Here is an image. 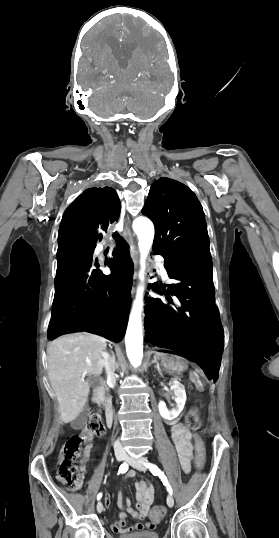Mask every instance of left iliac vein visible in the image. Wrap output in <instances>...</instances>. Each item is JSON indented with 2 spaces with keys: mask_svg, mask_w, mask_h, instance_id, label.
Returning a JSON list of instances; mask_svg holds the SVG:
<instances>
[{
  "mask_svg": "<svg viewBox=\"0 0 279 538\" xmlns=\"http://www.w3.org/2000/svg\"><path fill=\"white\" fill-rule=\"evenodd\" d=\"M125 460L132 467H134L135 469H137L139 471H145L146 470L145 464L148 462V460L145 457L136 458V457L126 455ZM167 504H168L169 507H173V505H174V499H173V496L171 494H169L168 497H167Z\"/></svg>",
  "mask_w": 279,
  "mask_h": 538,
  "instance_id": "1",
  "label": "left iliac vein"
}]
</instances>
